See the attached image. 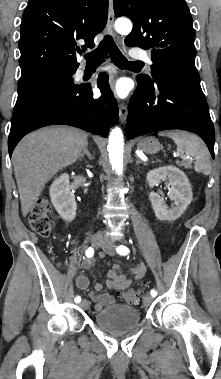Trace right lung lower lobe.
<instances>
[{
    "mask_svg": "<svg viewBox=\"0 0 221 379\" xmlns=\"http://www.w3.org/2000/svg\"><path fill=\"white\" fill-rule=\"evenodd\" d=\"M99 99H93L90 84L57 82L50 90L38 94L19 114L12 117L8 138L11 157L17 143L38 128L63 124L107 137L109 128L118 123V106L108 84V76H99Z\"/></svg>",
    "mask_w": 221,
    "mask_h": 379,
    "instance_id": "98d812e1",
    "label": "right lung lower lobe"
}]
</instances>
